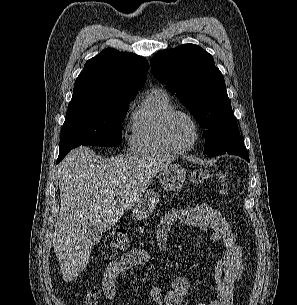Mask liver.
<instances>
[{
    "instance_id": "obj_1",
    "label": "liver",
    "mask_w": 297,
    "mask_h": 305,
    "mask_svg": "<svg viewBox=\"0 0 297 305\" xmlns=\"http://www.w3.org/2000/svg\"><path fill=\"white\" fill-rule=\"evenodd\" d=\"M87 147L71 151L59 164L60 212L53 234V248L65 282L86 267L92 244L89 225L105 232L143 197L151 180L174 156L133 153L94 162ZM116 196V198H115Z\"/></svg>"
}]
</instances>
